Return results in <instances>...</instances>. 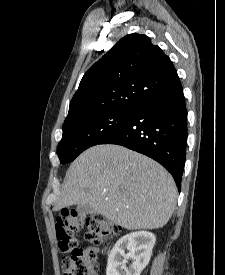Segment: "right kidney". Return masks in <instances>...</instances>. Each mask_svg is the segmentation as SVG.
Masks as SVG:
<instances>
[{
  "instance_id": "right-kidney-1",
  "label": "right kidney",
  "mask_w": 225,
  "mask_h": 275,
  "mask_svg": "<svg viewBox=\"0 0 225 275\" xmlns=\"http://www.w3.org/2000/svg\"><path fill=\"white\" fill-rule=\"evenodd\" d=\"M156 237L148 231H136L121 237L108 256L106 275H140L149 263ZM125 250L129 252L126 254ZM131 260L129 267L126 266Z\"/></svg>"
}]
</instances>
